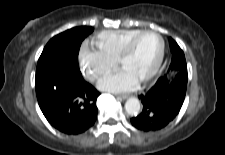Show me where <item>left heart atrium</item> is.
Here are the masks:
<instances>
[{"label": "left heart atrium", "instance_id": "39dd6f15", "mask_svg": "<svg viewBox=\"0 0 225 155\" xmlns=\"http://www.w3.org/2000/svg\"><path fill=\"white\" fill-rule=\"evenodd\" d=\"M140 80L129 70L121 68L107 75L99 84L100 89L110 92L133 90Z\"/></svg>", "mask_w": 225, "mask_h": 155}]
</instances>
